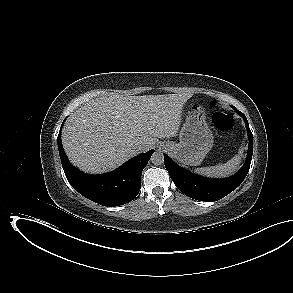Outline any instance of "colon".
<instances>
[{"label": "colon", "instance_id": "colon-1", "mask_svg": "<svg viewBox=\"0 0 293 293\" xmlns=\"http://www.w3.org/2000/svg\"><path fill=\"white\" fill-rule=\"evenodd\" d=\"M213 125L222 131L231 130L235 126V120L232 115L223 111H215L212 116Z\"/></svg>", "mask_w": 293, "mask_h": 293}]
</instances>
